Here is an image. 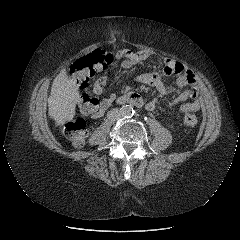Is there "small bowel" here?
<instances>
[{
    "mask_svg": "<svg viewBox=\"0 0 240 240\" xmlns=\"http://www.w3.org/2000/svg\"><path fill=\"white\" fill-rule=\"evenodd\" d=\"M147 51H131L128 49L121 50L117 53L116 58L120 60L123 68H131L140 64L149 57ZM162 74L170 76L178 75L176 85L182 92L173 98L169 106L178 107L181 112H197L201 107V101L198 94L197 81L194 74L182 63L173 59L167 58L163 61ZM138 81L154 86L158 92L163 95L169 94L170 89L163 83L159 73L144 74L137 78ZM108 76L99 77L93 86V91L97 95H102L107 89ZM115 94H111L108 98L101 100L99 110L94 115L99 117L110 107L115 100ZM157 98H151L144 101V106L147 110H154L157 106Z\"/></svg>",
    "mask_w": 240,
    "mask_h": 240,
    "instance_id": "small-bowel-1",
    "label": "small bowel"
}]
</instances>
